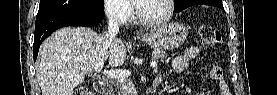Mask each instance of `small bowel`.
Listing matches in <instances>:
<instances>
[{
	"label": "small bowel",
	"instance_id": "c3829d8e",
	"mask_svg": "<svg viewBox=\"0 0 277 95\" xmlns=\"http://www.w3.org/2000/svg\"><path fill=\"white\" fill-rule=\"evenodd\" d=\"M201 48L198 46H191L187 48L181 55L175 57L172 60L171 68L176 73L184 72L191 60L198 57L201 54ZM206 77L210 80H215L218 84L221 95H229L230 91L226 82L222 78V70L220 67H214L210 69ZM162 77H156V81H161Z\"/></svg>",
	"mask_w": 277,
	"mask_h": 95
}]
</instances>
